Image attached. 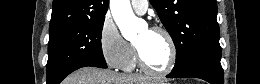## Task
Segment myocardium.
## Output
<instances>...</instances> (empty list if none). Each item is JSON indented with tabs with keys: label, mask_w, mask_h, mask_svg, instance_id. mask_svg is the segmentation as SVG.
<instances>
[{
	"label": "myocardium",
	"mask_w": 260,
	"mask_h": 84,
	"mask_svg": "<svg viewBox=\"0 0 260 84\" xmlns=\"http://www.w3.org/2000/svg\"><path fill=\"white\" fill-rule=\"evenodd\" d=\"M148 30L152 33H160L166 38L170 49L169 61L167 66L164 69L154 70L145 63L139 47L135 44L134 49H135L137 65L140 68V70H142L144 73L148 75L155 76V77L167 76L174 70L177 62L178 52H177V45L175 39L171 34V32L163 26L155 25L150 27Z\"/></svg>",
	"instance_id": "f54148a6"
}]
</instances>
